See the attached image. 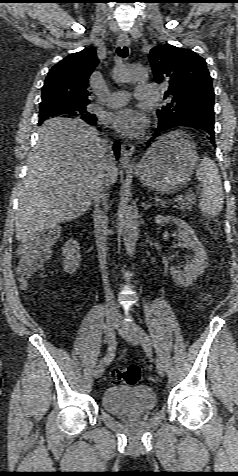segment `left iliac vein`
Instances as JSON below:
<instances>
[{
    "instance_id": "left-iliac-vein-1",
    "label": "left iliac vein",
    "mask_w": 238,
    "mask_h": 476,
    "mask_svg": "<svg viewBox=\"0 0 238 476\" xmlns=\"http://www.w3.org/2000/svg\"><path fill=\"white\" fill-rule=\"evenodd\" d=\"M120 317V316H119ZM116 327L120 333V335L132 345H137L139 343V338L135 331V325L126 326L120 318L117 320ZM156 368L157 372L161 377L165 375V366L161 359H156Z\"/></svg>"
}]
</instances>
